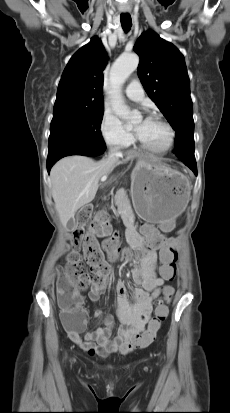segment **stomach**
<instances>
[{
    "label": "stomach",
    "instance_id": "1",
    "mask_svg": "<svg viewBox=\"0 0 230 413\" xmlns=\"http://www.w3.org/2000/svg\"><path fill=\"white\" fill-rule=\"evenodd\" d=\"M130 193L137 215L157 224L166 218L174 220L185 210L191 184L183 173L147 157L132 171Z\"/></svg>",
    "mask_w": 230,
    "mask_h": 413
}]
</instances>
